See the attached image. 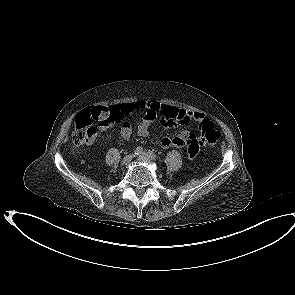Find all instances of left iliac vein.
Masks as SVG:
<instances>
[{"label":"left iliac vein","mask_w":295,"mask_h":295,"mask_svg":"<svg viewBox=\"0 0 295 295\" xmlns=\"http://www.w3.org/2000/svg\"><path fill=\"white\" fill-rule=\"evenodd\" d=\"M138 159L144 162H149V163L152 162V158L147 153H142L138 155Z\"/></svg>","instance_id":"1"}]
</instances>
